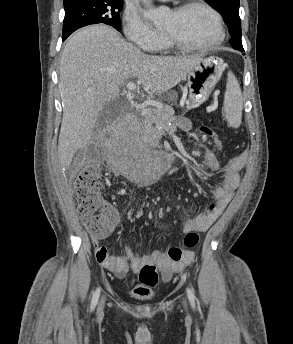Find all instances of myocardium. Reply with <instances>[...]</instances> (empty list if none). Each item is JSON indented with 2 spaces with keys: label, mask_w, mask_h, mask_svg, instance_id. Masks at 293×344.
<instances>
[{
  "label": "myocardium",
  "mask_w": 293,
  "mask_h": 344,
  "mask_svg": "<svg viewBox=\"0 0 293 344\" xmlns=\"http://www.w3.org/2000/svg\"><path fill=\"white\" fill-rule=\"evenodd\" d=\"M195 7L205 9L207 12L211 14V16L213 17L215 21L217 35L211 42L206 43V44L194 45V44H189L168 32L163 31V34L171 46L183 51L203 52V51L212 50L216 48L218 45H220L224 41L225 36H226L223 18L221 14L212 5L208 4L207 2L203 0H189L175 7L172 12L176 14H180Z\"/></svg>",
  "instance_id": "f54148a6"
}]
</instances>
